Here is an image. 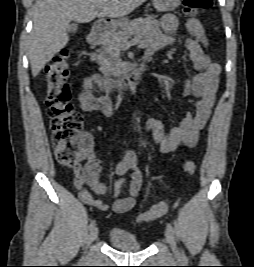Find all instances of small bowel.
I'll return each mask as SVG.
<instances>
[{
  "instance_id": "c3829d8e",
  "label": "small bowel",
  "mask_w": 254,
  "mask_h": 267,
  "mask_svg": "<svg viewBox=\"0 0 254 267\" xmlns=\"http://www.w3.org/2000/svg\"><path fill=\"white\" fill-rule=\"evenodd\" d=\"M179 20L173 14H168L161 19V31L156 32L146 42V57L151 58L157 51L171 45L176 40ZM189 36L184 39V46L189 51L190 61L193 67L199 71L185 84L184 93L197 98L194 114H187L178 126L166 130L163 123L156 118H150L145 123V131L151 132L153 140L158 144L162 153L174 151L178 146L194 147L198 143L200 131L208 122L216 99L220 66L213 63L205 49L209 41L205 31L197 19H190L186 23ZM99 89L104 94L97 95ZM112 84L110 79L99 74H92L84 79L78 94V107L84 112H99L105 116H111L114 104L110 95ZM101 164L97 159H91L86 166L74 168L75 186L79 190L81 199L93 205L101 211L111 209L115 213H126L136 204V198L142 186V173L137 167V158L134 152L126 153L124 159L116 166L115 173L119 176L130 172L128 185L129 195L116 199L111 206L95 200L90 193L84 189L88 185L97 194L105 195L108 187L99 181ZM124 186L123 181L117 182L114 196L117 197Z\"/></svg>"
}]
</instances>
